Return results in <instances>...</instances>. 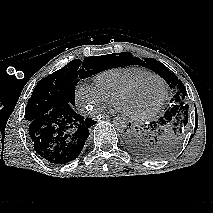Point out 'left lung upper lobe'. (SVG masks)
<instances>
[{"label":"left lung upper lobe","mask_w":213,"mask_h":213,"mask_svg":"<svg viewBox=\"0 0 213 213\" xmlns=\"http://www.w3.org/2000/svg\"><path fill=\"white\" fill-rule=\"evenodd\" d=\"M118 58L121 59L118 67L141 65L149 68L161 76L174 91L171 104L165 112L164 131L158 136L154 155L155 159L165 158L177 150L187 129L189 105L185 101V86L165 65L153 58L141 60L133 57L130 52L119 53Z\"/></svg>","instance_id":"1"}]
</instances>
